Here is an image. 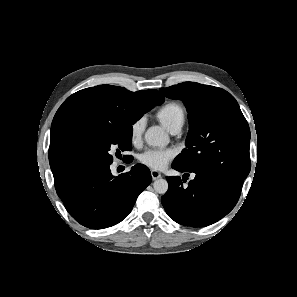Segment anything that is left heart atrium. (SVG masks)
Returning a JSON list of instances; mask_svg holds the SVG:
<instances>
[{"instance_id": "1", "label": "left heart atrium", "mask_w": 297, "mask_h": 297, "mask_svg": "<svg viewBox=\"0 0 297 297\" xmlns=\"http://www.w3.org/2000/svg\"><path fill=\"white\" fill-rule=\"evenodd\" d=\"M175 155L176 151L172 148L148 149L140 155L139 159L143 165L151 169L162 170L175 157Z\"/></svg>"}]
</instances>
